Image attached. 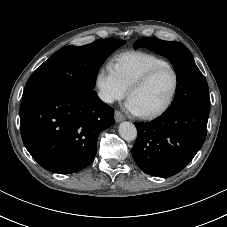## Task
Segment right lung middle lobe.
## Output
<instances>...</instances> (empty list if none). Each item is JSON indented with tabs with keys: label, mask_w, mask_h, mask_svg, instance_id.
<instances>
[{
	"label": "right lung middle lobe",
	"mask_w": 227,
	"mask_h": 227,
	"mask_svg": "<svg viewBox=\"0 0 227 227\" xmlns=\"http://www.w3.org/2000/svg\"><path fill=\"white\" fill-rule=\"evenodd\" d=\"M124 40L101 39L84 46H66L57 51L29 77L23 100L51 91L95 92L98 71Z\"/></svg>",
	"instance_id": "obj_1"
}]
</instances>
